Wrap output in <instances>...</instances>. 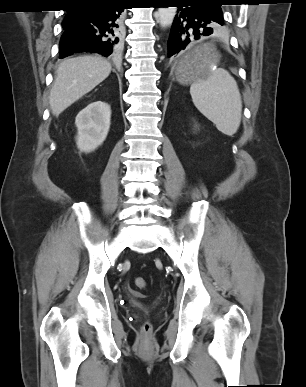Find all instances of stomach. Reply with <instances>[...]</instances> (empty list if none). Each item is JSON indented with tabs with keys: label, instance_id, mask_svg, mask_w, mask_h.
Returning a JSON list of instances; mask_svg holds the SVG:
<instances>
[{
	"label": "stomach",
	"instance_id": "stomach-1",
	"mask_svg": "<svg viewBox=\"0 0 306 387\" xmlns=\"http://www.w3.org/2000/svg\"><path fill=\"white\" fill-rule=\"evenodd\" d=\"M219 59L218 53L210 44L197 46L192 55H187L176 67V79L181 85H188L205 77Z\"/></svg>",
	"mask_w": 306,
	"mask_h": 387
}]
</instances>
